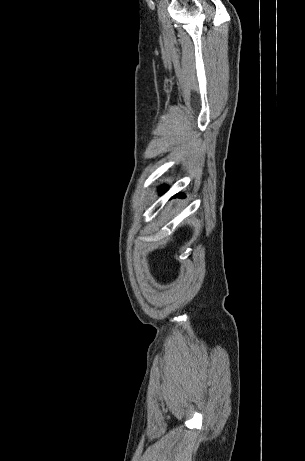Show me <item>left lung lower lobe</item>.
<instances>
[{"mask_svg":"<svg viewBox=\"0 0 305 461\" xmlns=\"http://www.w3.org/2000/svg\"><path fill=\"white\" fill-rule=\"evenodd\" d=\"M166 188H167L166 186H162V187L160 188V192L163 193L164 190H165Z\"/></svg>","mask_w":305,"mask_h":461,"instance_id":"0a47b994","label":"left lung lower lobe"}]
</instances>
